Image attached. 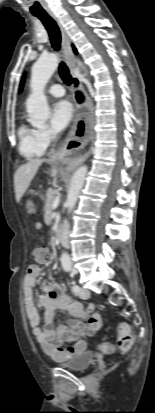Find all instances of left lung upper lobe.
I'll return each instance as SVG.
<instances>
[{"instance_id":"5c2ea615","label":"left lung upper lobe","mask_w":155,"mask_h":413,"mask_svg":"<svg viewBox=\"0 0 155 413\" xmlns=\"http://www.w3.org/2000/svg\"><path fill=\"white\" fill-rule=\"evenodd\" d=\"M23 79H24V77H23ZM23 82H24V81L21 82V88H22V86H23Z\"/></svg>"}]
</instances>
